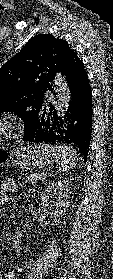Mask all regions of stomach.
<instances>
[{
	"label": "stomach",
	"mask_w": 113,
	"mask_h": 279,
	"mask_svg": "<svg viewBox=\"0 0 113 279\" xmlns=\"http://www.w3.org/2000/svg\"><path fill=\"white\" fill-rule=\"evenodd\" d=\"M51 153L37 144L21 145L14 148L8 156V162L24 170H36L50 162Z\"/></svg>",
	"instance_id": "stomach-1"
}]
</instances>
